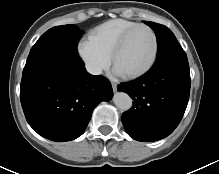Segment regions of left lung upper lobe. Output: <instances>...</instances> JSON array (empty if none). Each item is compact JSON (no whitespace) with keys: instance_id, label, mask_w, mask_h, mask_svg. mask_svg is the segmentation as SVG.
<instances>
[{"instance_id":"5c2ea615","label":"left lung upper lobe","mask_w":219,"mask_h":174,"mask_svg":"<svg viewBox=\"0 0 219 174\" xmlns=\"http://www.w3.org/2000/svg\"><path fill=\"white\" fill-rule=\"evenodd\" d=\"M144 23L154 30L157 37L158 50L155 64L169 58L187 57L176 37L169 28L149 21H144Z\"/></svg>"}]
</instances>
